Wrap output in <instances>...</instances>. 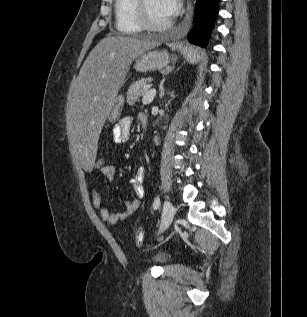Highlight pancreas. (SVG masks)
Wrapping results in <instances>:
<instances>
[{"label": "pancreas", "instance_id": "cf45deb5", "mask_svg": "<svg viewBox=\"0 0 307 317\" xmlns=\"http://www.w3.org/2000/svg\"><path fill=\"white\" fill-rule=\"evenodd\" d=\"M149 81L148 78H141L135 81L128 89L127 92V103L129 105H134L140 102V98L145 94L144 86Z\"/></svg>", "mask_w": 307, "mask_h": 317}]
</instances>
